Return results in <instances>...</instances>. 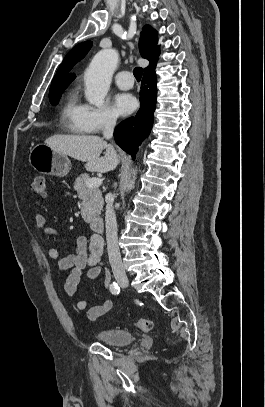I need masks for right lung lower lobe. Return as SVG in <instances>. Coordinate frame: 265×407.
<instances>
[{
  "mask_svg": "<svg viewBox=\"0 0 265 407\" xmlns=\"http://www.w3.org/2000/svg\"><path fill=\"white\" fill-rule=\"evenodd\" d=\"M155 67L156 63L144 72L140 92L141 106L137 115L122 121L114 131L116 143L133 158L153 125L157 95Z\"/></svg>",
  "mask_w": 265,
  "mask_h": 407,
  "instance_id": "98d812e1",
  "label": "right lung lower lobe"
}]
</instances>
